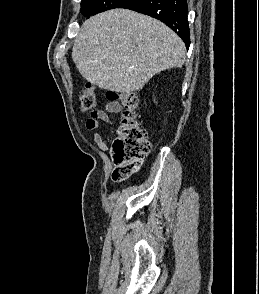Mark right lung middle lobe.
Masks as SVG:
<instances>
[{
  "label": "right lung middle lobe",
  "mask_w": 259,
  "mask_h": 294,
  "mask_svg": "<svg viewBox=\"0 0 259 294\" xmlns=\"http://www.w3.org/2000/svg\"><path fill=\"white\" fill-rule=\"evenodd\" d=\"M130 0H82L81 13L84 16H92L106 10L119 8Z\"/></svg>",
  "instance_id": "1"
}]
</instances>
